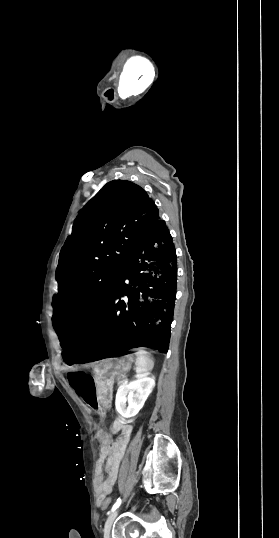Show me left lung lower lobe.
I'll use <instances>...</instances> for the list:
<instances>
[{
  "mask_svg": "<svg viewBox=\"0 0 279 538\" xmlns=\"http://www.w3.org/2000/svg\"><path fill=\"white\" fill-rule=\"evenodd\" d=\"M128 280V283H125ZM177 257L159 218L124 265L101 313L84 333L59 335L67 364L87 363L135 347L166 353L176 299ZM125 296V300L120 297Z\"/></svg>",
  "mask_w": 279,
  "mask_h": 538,
  "instance_id": "left-lung-lower-lobe-1",
  "label": "left lung lower lobe"
}]
</instances>
